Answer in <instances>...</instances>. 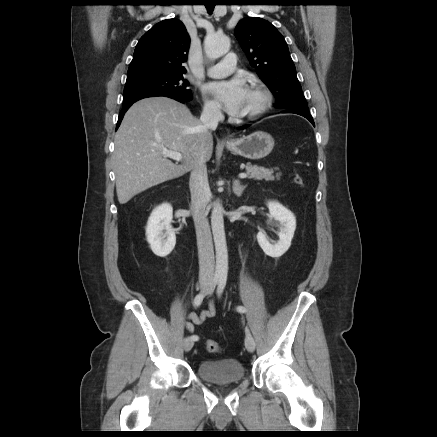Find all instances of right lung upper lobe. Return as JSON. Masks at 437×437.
I'll return each instance as SVG.
<instances>
[{
    "mask_svg": "<svg viewBox=\"0 0 437 437\" xmlns=\"http://www.w3.org/2000/svg\"><path fill=\"white\" fill-rule=\"evenodd\" d=\"M189 45L190 37L180 20H163L140 38L128 72L185 74L187 71L183 63L187 60Z\"/></svg>",
    "mask_w": 437,
    "mask_h": 437,
    "instance_id": "1",
    "label": "right lung upper lobe"
}]
</instances>
